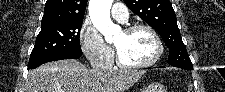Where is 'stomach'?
<instances>
[{"label":"stomach","instance_id":"0dacf381","mask_svg":"<svg viewBox=\"0 0 225 92\" xmlns=\"http://www.w3.org/2000/svg\"><path fill=\"white\" fill-rule=\"evenodd\" d=\"M142 92H165V89L161 85H151L142 90Z\"/></svg>","mask_w":225,"mask_h":92}]
</instances>
